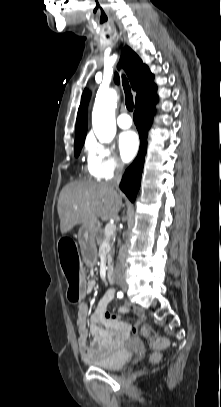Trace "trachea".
<instances>
[{"label":"trachea","mask_w":221,"mask_h":407,"mask_svg":"<svg viewBox=\"0 0 221 407\" xmlns=\"http://www.w3.org/2000/svg\"><path fill=\"white\" fill-rule=\"evenodd\" d=\"M122 82H123V88L125 91L126 107L129 111H133V106H134L133 97L130 92V87H129L128 81L124 75L122 76Z\"/></svg>","instance_id":"3493384b"}]
</instances>
